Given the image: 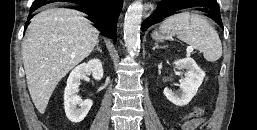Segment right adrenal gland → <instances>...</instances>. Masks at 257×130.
I'll use <instances>...</instances> for the list:
<instances>
[{
  "label": "right adrenal gland",
  "mask_w": 257,
  "mask_h": 130,
  "mask_svg": "<svg viewBox=\"0 0 257 130\" xmlns=\"http://www.w3.org/2000/svg\"><path fill=\"white\" fill-rule=\"evenodd\" d=\"M96 50L99 51L100 53H102V50L99 47V42L96 44V48L93 50V52Z\"/></svg>",
  "instance_id": "obj_1"
}]
</instances>
